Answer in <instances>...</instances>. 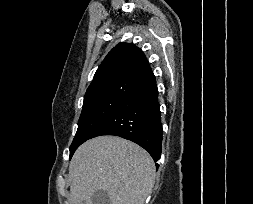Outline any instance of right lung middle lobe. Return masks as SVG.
Listing matches in <instances>:
<instances>
[{
  "label": "right lung middle lobe",
  "instance_id": "right-lung-middle-lobe-1",
  "mask_svg": "<svg viewBox=\"0 0 253 204\" xmlns=\"http://www.w3.org/2000/svg\"><path fill=\"white\" fill-rule=\"evenodd\" d=\"M138 82L120 81L86 92L77 133L70 146V159L79 145L90 139L96 129L133 91Z\"/></svg>",
  "mask_w": 253,
  "mask_h": 204
}]
</instances>
